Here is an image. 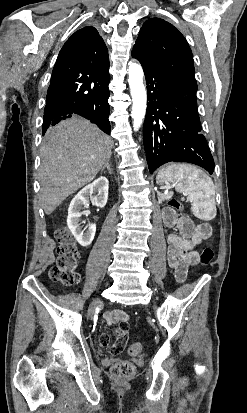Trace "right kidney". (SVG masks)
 Returning <instances> with one entry per match:
<instances>
[{
    "mask_svg": "<svg viewBox=\"0 0 247 413\" xmlns=\"http://www.w3.org/2000/svg\"><path fill=\"white\" fill-rule=\"evenodd\" d=\"M109 180L106 176H99L96 180H93L91 184H87L84 188L79 190L78 194L72 198L70 207L68 209L67 225L74 235L76 241H78L81 247H88L91 245L96 231V225L89 223L86 229L80 227L82 215L86 213H80L83 207H88L89 200L92 204H96V207H105L108 198ZM96 192V194H93Z\"/></svg>",
    "mask_w": 247,
    "mask_h": 413,
    "instance_id": "1",
    "label": "right kidney"
}]
</instances>
